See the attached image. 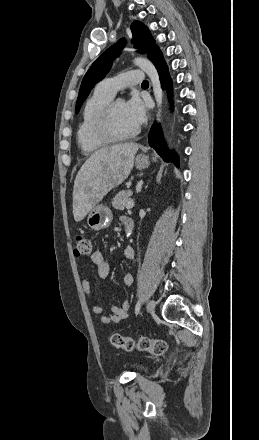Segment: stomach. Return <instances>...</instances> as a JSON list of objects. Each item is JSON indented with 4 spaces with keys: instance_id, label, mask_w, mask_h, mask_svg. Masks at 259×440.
I'll return each instance as SVG.
<instances>
[{
    "instance_id": "1",
    "label": "stomach",
    "mask_w": 259,
    "mask_h": 440,
    "mask_svg": "<svg viewBox=\"0 0 259 440\" xmlns=\"http://www.w3.org/2000/svg\"><path fill=\"white\" fill-rule=\"evenodd\" d=\"M149 164L150 161L146 156L139 155L135 159V166L139 170L147 168ZM112 219L113 215L109 207L96 205L89 211L87 224L91 229L99 231L109 227Z\"/></svg>"
}]
</instances>
